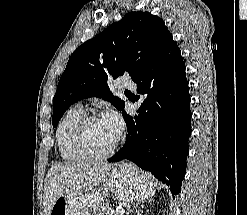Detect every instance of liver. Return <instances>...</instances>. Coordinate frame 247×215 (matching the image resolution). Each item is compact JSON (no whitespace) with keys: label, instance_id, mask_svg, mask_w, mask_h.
I'll use <instances>...</instances> for the list:
<instances>
[{"label":"liver","instance_id":"obj_1","mask_svg":"<svg viewBox=\"0 0 247 215\" xmlns=\"http://www.w3.org/2000/svg\"><path fill=\"white\" fill-rule=\"evenodd\" d=\"M113 167L104 162L52 165L44 182V215L50 214L60 196L82 195L96 188Z\"/></svg>","mask_w":247,"mask_h":215}]
</instances>
